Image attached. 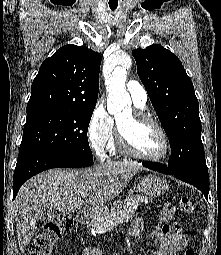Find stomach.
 <instances>
[{"label":"stomach","mask_w":221,"mask_h":255,"mask_svg":"<svg viewBox=\"0 0 221 255\" xmlns=\"http://www.w3.org/2000/svg\"><path fill=\"white\" fill-rule=\"evenodd\" d=\"M139 196L142 202H148L164 194L168 189L167 182L155 175H148L141 179L137 186ZM119 203V201L115 202ZM104 210L101 211V213Z\"/></svg>","instance_id":"obj_1"}]
</instances>
